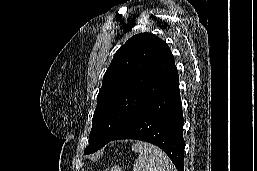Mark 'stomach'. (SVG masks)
Wrapping results in <instances>:
<instances>
[{
    "mask_svg": "<svg viewBox=\"0 0 257 171\" xmlns=\"http://www.w3.org/2000/svg\"><path fill=\"white\" fill-rule=\"evenodd\" d=\"M111 171H123L121 167H119L118 165H114L112 167V170Z\"/></svg>",
    "mask_w": 257,
    "mask_h": 171,
    "instance_id": "stomach-1",
    "label": "stomach"
}]
</instances>
